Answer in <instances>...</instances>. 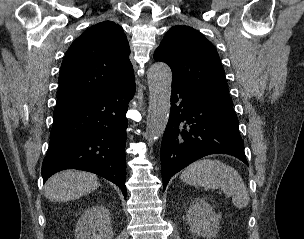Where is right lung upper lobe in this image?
<instances>
[{"label":"right lung upper lobe","instance_id":"obj_1","mask_svg":"<svg viewBox=\"0 0 304 239\" xmlns=\"http://www.w3.org/2000/svg\"><path fill=\"white\" fill-rule=\"evenodd\" d=\"M129 54L120 25L104 21L84 31L62 62L54 113L81 105L133 78Z\"/></svg>","mask_w":304,"mask_h":239}]
</instances>
